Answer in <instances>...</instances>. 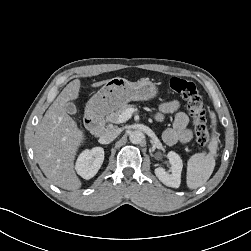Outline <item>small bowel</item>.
I'll list each match as a JSON object with an SVG mask.
<instances>
[{"label":"small bowel","mask_w":251,"mask_h":251,"mask_svg":"<svg viewBox=\"0 0 251 251\" xmlns=\"http://www.w3.org/2000/svg\"><path fill=\"white\" fill-rule=\"evenodd\" d=\"M180 103L176 100L163 103L156 115L158 121H162L166 114H173L172 127L163 134V140L168 145L187 143L192 138V131L188 128L187 115L179 110Z\"/></svg>","instance_id":"obj_1"}]
</instances>
